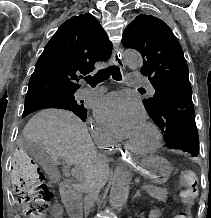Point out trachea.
<instances>
[{
  "label": "trachea",
  "mask_w": 211,
  "mask_h": 218,
  "mask_svg": "<svg viewBox=\"0 0 211 218\" xmlns=\"http://www.w3.org/2000/svg\"><path fill=\"white\" fill-rule=\"evenodd\" d=\"M110 76L116 81L122 80L120 68L116 65H111L110 67L99 70L94 77H85V81L89 84L97 85L98 83L108 80Z\"/></svg>",
  "instance_id": "3493384b"
}]
</instances>
